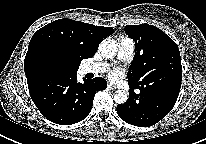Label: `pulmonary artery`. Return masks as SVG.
<instances>
[{
    "instance_id": "obj_1",
    "label": "pulmonary artery",
    "mask_w": 206,
    "mask_h": 144,
    "mask_svg": "<svg viewBox=\"0 0 206 144\" xmlns=\"http://www.w3.org/2000/svg\"><path fill=\"white\" fill-rule=\"evenodd\" d=\"M135 43L132 39L128 37H123L118 41V54L117 58L119 60H128L131 59L134 54ZM108 69L106 63H95L85 65L82 68L83 73H102Z\"/></svg>"
}]
</instances>
